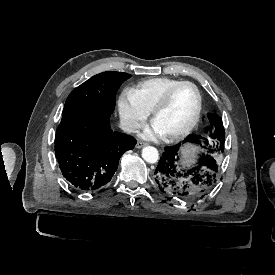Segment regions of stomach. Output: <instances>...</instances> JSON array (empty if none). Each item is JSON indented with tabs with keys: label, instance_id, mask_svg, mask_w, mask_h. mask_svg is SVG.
<instances>
[{
	"label": "stomach",
	"instance_id": "stomach-1",
	"mask_svg": "<svg viewBox=\"0 0 275 275\" xmlns=\"http://www.w3.org/2000/svg\"><path fill=\"white\" fill-rule=\"evenodd\" d=\"M202 145L197 140H190L180 150L178 166L183 171L192 170L200 160Z\"/></svg>",
	"mask_w": 275,
	"mask_h": 275
}]
</instances>
